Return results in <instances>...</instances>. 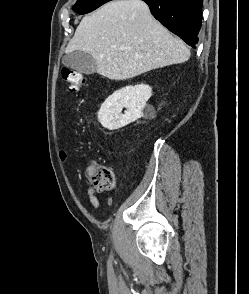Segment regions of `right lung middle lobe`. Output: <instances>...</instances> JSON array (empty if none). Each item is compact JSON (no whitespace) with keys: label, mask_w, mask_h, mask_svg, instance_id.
<instances>
[{"label":"right lung middle lobe","mask_w":249,"mask_h":294,"mask_svg":"<svg viewBox=\"0 0 249 294\" xmlns=\"http://www.w3.org/2000/svg\"><path fill=\"white\" fill-rule=\"evenodd\" d=\"M111 0H77L72 7L80 15L89 13Z\"/></svg>","instance_id":"1"}]
</instances>
